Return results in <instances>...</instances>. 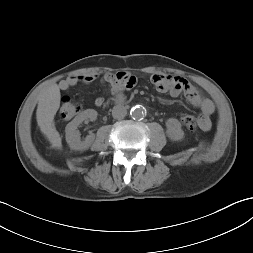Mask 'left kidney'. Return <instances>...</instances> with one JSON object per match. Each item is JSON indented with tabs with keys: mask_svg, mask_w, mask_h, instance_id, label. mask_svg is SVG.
<instances>
[{
	"mask_svg": "<svg viewBox=\"0 0 253 253\" xmlns=\"http://www.w3.org/2000/svg\"><path fill=\"white\" fill-rule=\"evenodd\" d=\"M166 134L174 141H179L184 138V132L181 128V123L175 118H169L166 122Z\"/></svg>",
	"mask_w": 253,
	"mask_h": 253,
	"instance_id": "left-kidney-1",
	"label": "left kidney"
}]
</instances>
